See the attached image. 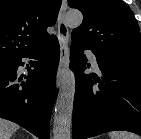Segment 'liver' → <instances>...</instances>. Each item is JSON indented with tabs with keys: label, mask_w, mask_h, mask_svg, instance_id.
Returning a JSON list of instances; mask_svg holds the SVG:
<instances>
[{
	"label": "liver",
	"mask_w": 141,
	"mask_h": 139,
	"mask_svg": "<svg viewBox=\"0 0 141 139\" xmlns=\"http://www.w3.org/2000/svg\"><path fill=\"white\" fill-rule=\"evenodd\" d=\"M18 129L17 124L0 118V139H11L12 134Z\"/></svg>",
	"instance_id": "6515ba94"
}]
</instances>
